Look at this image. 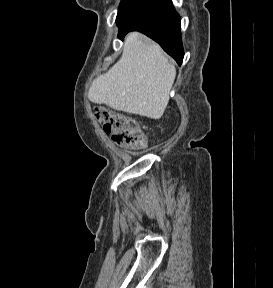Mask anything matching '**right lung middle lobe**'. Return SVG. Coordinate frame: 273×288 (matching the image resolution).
<instances>
[{
	"instance_id": "right-lung-middle-lobe-1",
	"label": "right lung middle lobe",
	"mask_w": 273,
	"mask_h": 288,
	"mask_svg": "<svg viewBox=\"0 0 273 288\" xmlns=\"http://www.w3.org/2000/svg\"><path fill=\"white\" fill-rule=\"evenodd\" d=\"M138 2V0H122L118 9L116 18L117 24L128 14L132 7Z\"/></svg>"
}]
</instances>
